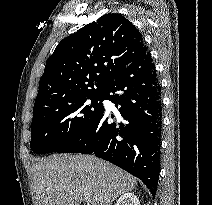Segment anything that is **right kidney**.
I'll list each match as a JSON object with an SVG mask.
<instances>
[{
  "mask_svg": "<svg viewBox=\"0 0 212 205\" xmlns=\"http://www.w3.org/2000/svg\"><path fill=\"white\" fill-rule=\"evenodd\" d=\"M115 205H140V202L133 193H125L117 200Z\"/></svg>",
  "mask_w": 212,
  "mask_h": 205,
  "instance_id": "ca27d5eb",
  "label": "right kidney"
}]
</instances>
